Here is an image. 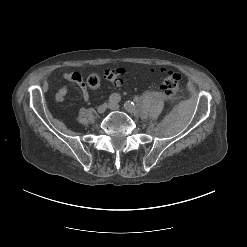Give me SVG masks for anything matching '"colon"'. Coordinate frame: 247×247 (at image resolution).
Instances as JSON below:
<instances>
[{
  "label": "colon",
  "instance_id": "5ec220e1",
  "mask_svg": "<svg viewBox=\"0 0 247 247\" xmlns=\"http://www.w3.org/2000/svg\"><path fill=\"white\" fill-rule=\"evenodd\" d=\"M165 77L160 84V90L167 96H174L179 91V83L181 76L177 72L171 70H164ZM106 78L109 81H115L118 78L116 69L108 70ZM101 79L97 74H91L86 79V85L90 89H97L100 86Z\"/></svg>",
  "mask_w": 247,
  "mask_h": 247
}]
</instances>
